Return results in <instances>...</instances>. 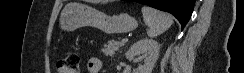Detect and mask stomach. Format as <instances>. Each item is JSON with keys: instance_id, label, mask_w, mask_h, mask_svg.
<instances>
[{"instance_id": "1", "label": "stomach", "mask_w": 244, "mask_h": 73, "mask_svg": "<svg viewBox=\"0 0 244 73\" xmlns=\"http://www.w3.org/2000/svg\"><path fill=\"white\" fill-rule=\"evenodd\" d=\"M59 26L64 31H73L82 26L95 27L106 34H122L137 28V20L127 13L108 15L86 4L71 2L65 5Z\"/></svg>"}]
</instances>
